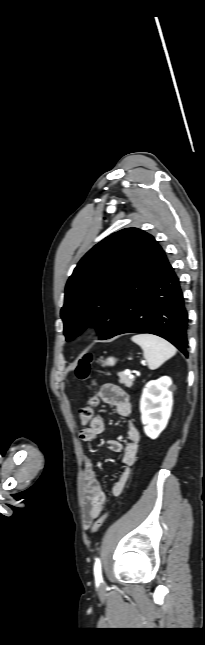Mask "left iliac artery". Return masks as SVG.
I'll use <instances>...</instances> for the list:
<instances>
[{
    "mask_svg": "<svg viewBox=\"0 0 205 645\" xmlns=\"http://www.w3.org/2000/svg\"><path fill=\"white\" fill-rule=\"evenodd\" d=\"M94 576L97 581H102V570L100 559L97 558L94 564Z\"/></svg>",
    "mask_w": 205,
    "mask_h": 645,
    "instance_id": "obj_1",
    "label": "left iliac artery"
}]
</instances>
